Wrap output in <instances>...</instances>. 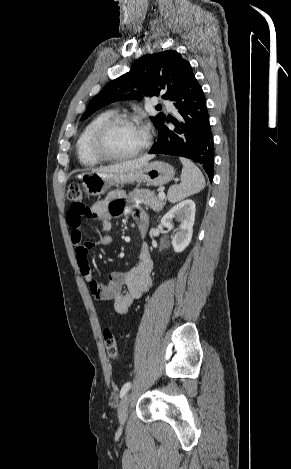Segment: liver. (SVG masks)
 I'll return each mask as SVG.
<instances>
[{"label":"liver","mask_w":291,"mask_h":469,"mask_svg":"<svg viewBox=\"0 0 291 469\" xmlns=\"http://www.w3.org/2000/svg\"><path fill=\"white\" fill-rule=\"evenodd\" d=\"M153 157H154L153 155H145L143 157H140L134 160L125 161L122 163L114 164V165L107 166V167H102L99 169H93L92 172L114 173V172L133 171L147 164L148 161L151 160Z\"/></svg>","instance_id":"1"}]
</instances>
